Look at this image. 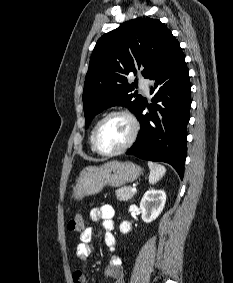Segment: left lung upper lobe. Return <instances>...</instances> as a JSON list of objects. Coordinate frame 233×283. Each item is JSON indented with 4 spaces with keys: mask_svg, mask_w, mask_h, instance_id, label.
Instances as JSON below:
<instances>
[{
    "mask_svg": "<svg viewBox=\"0 0 233 283\" xmlns=\"http://www.w3.org/2000/svg\"><path fill=\"white\" fill-rule=\"evenodd\" d=\"M177 43L163 23L151 18L127 21L104 34L92 52L85 78V128L110 106H125L136 114L143 98L130 93L135 84H129L126 75L141 71L148 78Z\"/></svg>",
    "mask_w": 233,
    "mask_h": 283,
    "instance_id": "5c2ea615",
    "label": "left lung upper lobe"
}]
</instances>
